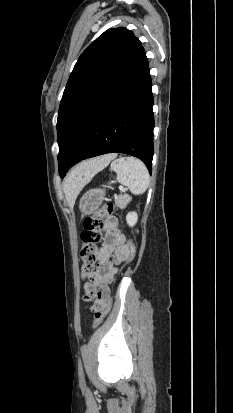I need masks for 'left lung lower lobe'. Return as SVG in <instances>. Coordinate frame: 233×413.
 <instances>
[{
	"label": "left lung lower lobe",
	"mask_w": 233,
	"mask_h": 413,
	"mask_svg": "<svg viewBox=\"0 0 233 413\" xmlns=\"http://www.w3.org/2000/svg\"><path fill=\"white\" fill-rule=\"evenodd\" d=\"M152 106L151 77L142 47L120 84L91 121L74 157L60 172L61 178L79 161L112 152L141 159L151 173Z\"/></svg>",
	"instance_id": "1"
}]
</instances>
